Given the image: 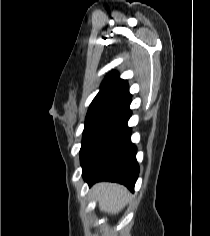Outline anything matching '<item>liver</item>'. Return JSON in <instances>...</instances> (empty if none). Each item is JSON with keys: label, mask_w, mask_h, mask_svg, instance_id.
I'll return each mask as SVG.
<instances>
[{"label": "liver", "mask_w": 210, "mask_h": 236, "mask_svg": "<svg viewBox=\"0 0 210 236\" xmlns=\"http://www.w3.org/2000/svg\"><path fill=\"white\" fill-rule=\"evenodd\" d=\"M93 193L99 209L111 215L118 214L128 203L130 195L127 189L116 183L101 182L93 186Z\"/></svg>", "instance_id": "1"}]
</instances>
